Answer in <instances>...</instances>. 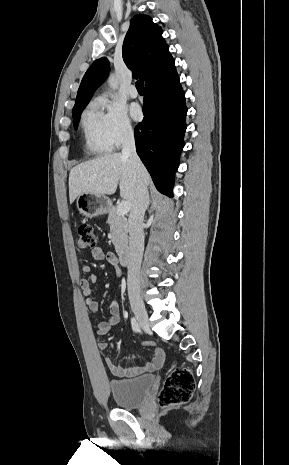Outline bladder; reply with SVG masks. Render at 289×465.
Returning a JSON list of instances; mask_svg holds the SVG:
<instances>
[{
  "instance_id": "obj_1",
  "label": "bladder",
  "mask_w": 289,
  "mask_h": 465,
  "mask_svg": "<svg viewBox=\"0 0 289 465\" xmlns=\"http://www.w3.org/2000/svg\"><path fill=\"white\" fill-rule=\"evenodd\" d=\"M154 382L153 375H142L129 379L111 380L109 387L117 406L132 409L145 404Z\"/></svg>"
}]
</instances>
